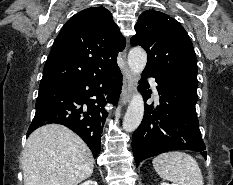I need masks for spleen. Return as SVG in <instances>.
Listing matches in <instances>:
<instances>
[{
	"label": "spleen",
	"instance_id": "1",
	"mask_svg": "<svg viewBox=\"0 0 233 185\" xmlns=\"http://www.w3.org/2000/svg\"><path fill=\"white\" fill-rule=\"evenodd\" d=\"M157 174L174 185H203V175L197 161L184 152H167L152 161Z\"/></svg>",
	"mask_w": 233,
	"mask_h": 185
}]
</instances>
